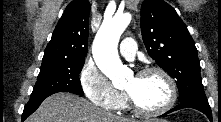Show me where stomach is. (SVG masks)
Returning a JSON list of instances; mask_svg holds the SVG:
<instances>
[{
  "mask_svg": "<svg viewBox=\"0 0 221 122\" xmlns=\"http://www.w3.org/2000/svg\"><path fill=\"white\" fill-rule=\"evenodd\" d=\"M146 122H167L166 120H163V119H150Z\"/></svg>",
  "mask_w": 221,
  "mask_h": 122,
  "instance_id": "1",
  "label": "stomach"
}]
</instances>
